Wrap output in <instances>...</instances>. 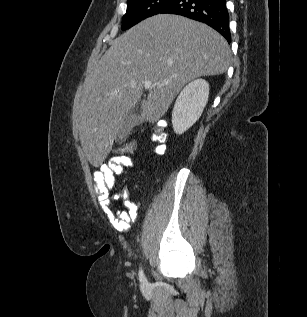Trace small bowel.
I'll use <instances>...</instances> for the list:
<instances>
[{
  "label": "small bowel",
  "instance_id": "c3829d8e",
  "mask_svg": "<svg viewBox=\"0 0 307 317\" xmlns=\"http://www.w3.org/2000/svg\"><path fill=\"white\" fill-rule=\"evenodd\" d=\"M134 167V161L129 155H115L100 165L93 174L94 187L98 194L100 205L114 229L126 232L137 218L138 206L129 198V192L124 188L120 192H112L116 176H122L125 169ZM122 200L126 210L116 209L115 202Z\"/></svg>",
  "mask_w": 307,
  "mask_h": 317
}]
</instances>
